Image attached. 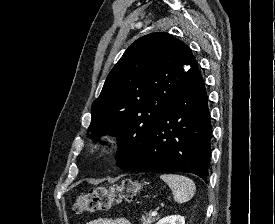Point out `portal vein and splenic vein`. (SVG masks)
I'll list each match as a JSON object with an SVG mask.
<instances>
[{"mask_svg": "<svg viewBox=\"0 0 275 224\" xmlns=\"http://www.w3.org/2000/svg\"><path fill=\"white\" fill-rule=\"evenodd\" d=\"M157 214H158L157 211H153V212L151 213V216H156Z\"/></svg>", "mask_w": 275, "mask_h": 224, "instance_id": "portal-vein-and-splenic-vein-1", "label": "portal vein and splenic vein"}]
</instances>
